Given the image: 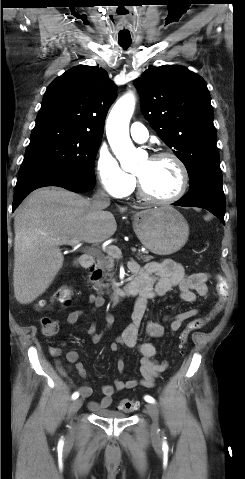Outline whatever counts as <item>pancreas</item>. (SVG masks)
I'll return each instance as SVG.
<instances>
[{
    "label": "pancreas",
    "instance_id": "cf45deb5",
    "mask_svg": "<svg viewBox=\"0 0 245 479\" xmlns=\"http://www.w3.org/2000/svg\"><path fill=\"white\" fill-rule=\"evenodd\" d=\"M137 256L144 262H148L153 258L150 255L138 254ZM96 268L102 271L103 279L94 280V286L100 292H102L103 289H107V292H109L111 286L109 282L112 281V276L114 275V257L111 255L97 254ZM108 277H110V279H108ZM104 280L107 281V283H104Z\"/></svg>",
    "mask_w": 245,
    "mask_h": 479
}]
</instances>
